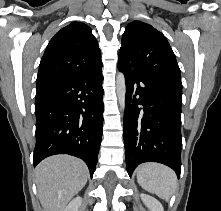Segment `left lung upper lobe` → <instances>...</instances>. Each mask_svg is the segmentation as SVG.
<instances>
[{"mask_svg": "<svg viewBox=\"0 0 221 211\" xmlns=\"http://www.w3.org/2000/svg\"><path fill=\"white\" fill-rule=\"evenodd\" d=\"M118 62L146 77L182 87L180 69L166 37L147 23L134 21L126 27Z\"/></svg>", "mask_w": 221, "mask_h": 211, "instance_id": "1", "label": "left lung upper lobe"}]
</instances>
